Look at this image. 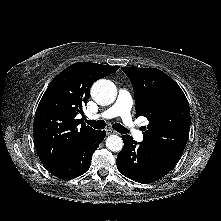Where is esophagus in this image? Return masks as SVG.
Wrapping results in <instances>:
<instances>
[{
    "mask_svg": "<svg viewBox=\"0 0 221 221\" xmlns=\"http://www.w3.org/2000/svg\"><path fill=\"white\" fill-rule=\"evenodd\" d=\"M106 133H107V135L116 134V132L114 130L110 129V128L106 129Z\"/></svg>",
    "mask_w": 221,
    "mask_h": 221,
    "instance_id": "34e87169",
    "label": "esophagus"
}]
</instances>
